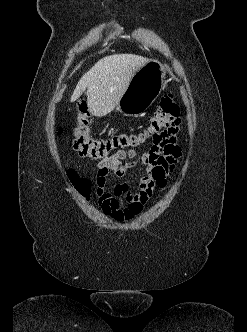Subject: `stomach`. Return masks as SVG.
I'll return each instance as SVG.
<instances>
[{"mask_svg": "<svg viewBox=\"0 0 247 332\" xmlns=\"http://www.w3.org/2000/svg\"><path fill=\"white\" fill-rule=\"evenodd\" d=\"M166 73L165 65L157 60H148L133 75L126 91L116 105V110L125 116L143 115L159 96Z\"/></svg>", "mask_w": 247, "mask_h": 332, "instance_id": "1", "label": "stomach"}]
</instances>
